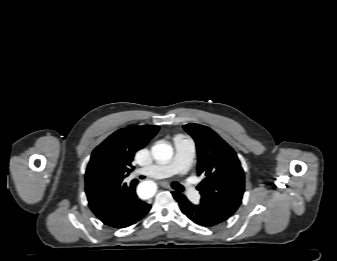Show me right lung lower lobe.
Segmentation results:
<instances>
[{"mask_svg": "<svg viewBox=\"0 0 337 261\" xmlns=\"http://www.w3.org/2000/svg\"><path fill=\"white\" fill-rule=\"evenodd\" d=\"M136 184L128 187L112 208L99 217L105 225L117 229L125 228L135 224L148 213L151 205L137 198Z\"/></svg>", "mask_w": 337, "mask_h": 261, "instance_id": "obj_1", "label": "right lung lower lobe"}]
</instances>
